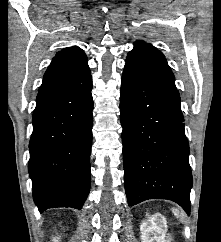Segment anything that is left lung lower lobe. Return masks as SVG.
<instances>
[{
    "label": "left lung lower lobe",
    "mask_w": 221,
    "mask_h": 242,
    "mask_svg": "<svg viewBox=\"0 0 221 242\" xmlns=\"http://www.w3.org/2000/svg\"><path fill=\"white\" fill-rule=\"evenodd\" d=\"M120 120L128 205L169 199L190 214L192 174L178 90L125 65Z\"/></svg>",
    "instance_id": "0a47b994"
}]
</instances>
